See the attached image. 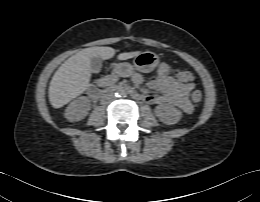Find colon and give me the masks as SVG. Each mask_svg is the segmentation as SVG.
Wrapping results in <instances>:
<instances>
[{
	"label": "colon",
	"mask_w": 260,
	"mask_h": 202,
	"mask_svg": "<svg viewBox=\"0 0 260 202\" xmlns=\"http://www.w3.org/2000/svg\"><path fill=\"white\" fill-rule=\"evenodd\" d=\"M176 78L181 82H191L194 78L191 71L187 69H181L176 71ZM191 100L194 103H199L202 100V92L199 89H195L191 92Z\"/></svg>",
	"instance_id": "colon-1"
}]
</instances>
